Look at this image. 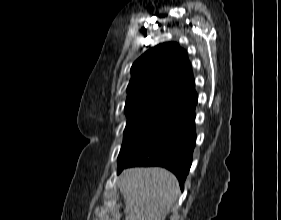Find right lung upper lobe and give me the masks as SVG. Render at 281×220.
<instances>
[{"label":"right lung upper lobe","mask_w":281,"mask_h":220,"mask_svg":"<svg viewBox=\"0 0 281 220\" xmlns=\"http://www.w3.org/2000/svg\"><path fill=\"white\" fill-rule=\"evenodd\" d=\"M127 87V118H172L197 100L187 53L174 42L159 44L131 67Z\"/></svg>","instance_id":"right-lung-upper-lobe-1"}]
</instances>
